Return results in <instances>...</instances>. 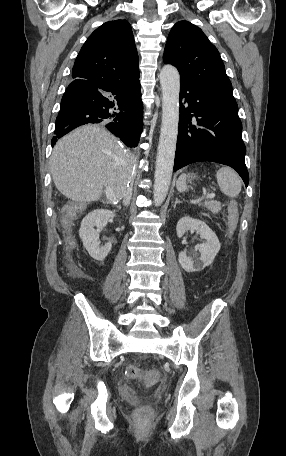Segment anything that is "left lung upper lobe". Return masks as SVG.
I'll use <instances>...</instances> for the list:
<instances>
[{
  "label": "left lung upper lobe",
  "instance_id": "left-lung-upper-lobe-1",
  "mask_svg": "<svg viewBox=\"0 0 286 456\" xmlns=\"http://www.w3.org/2000/svg\"><path fill=\"white\" fill-rule=\"evenodd\" d=\"M163 60L188 80L236 103L232 84L216 47L203 31L188 21L176 23L168 36Z\"/></svg>",
  "mask_w": 286,
  "mask_h": 456
}]
</instances>
